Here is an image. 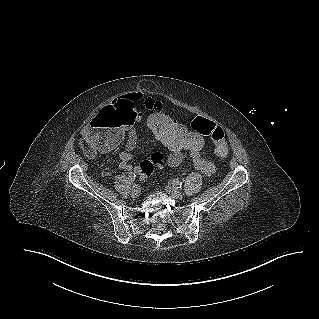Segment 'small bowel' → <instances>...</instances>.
I'll list each match as a JSON object with an SVG mask.
<instances>
[{
  "label": "small bowel",
  "instance_id": "obj_1",
  "mask_svg": "<svg viewBox=\"0 0 319 319\" xmlns=\"http://www.w3.org/2000/svg\"><path fill=\"white\" fill-rule=\"evenodd\" d=\"M139 101L140 95L136 93L122 96L119 100L113 101L112 105L100 108L97 116L91 117L90 127L82 131L83 136H86V141L90 148L101 153H108L115 150L125 139V147L119 153V167L125 171L134 170L138 172V167L133 169L130 164L131 151L134 150L137 145V131L134 127L129 129V126H137L140 112L136 105ZM144 107L149 111L150 115L153 113H165L171 117L170 114L164 111L162 104L153 98H147L144 101ZM174 122L179 123L175 120ZM192 122L193 121H191V124ZM191 130H193L192 127ZM193 132L194 135H202L199 131L193 130ZM154 137L170 151L167 159L168 166H178L183 161V152L169 147L162 142L159 137ZM189 157L195 169L204 175L211 176L215 173V163L206 157L202 151L189 153Z\"/></svg>",
  "mask_w": 319,
  "mask_h": 319
}]
</instances>
